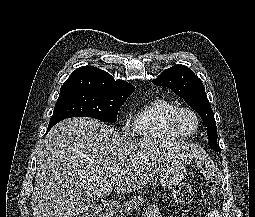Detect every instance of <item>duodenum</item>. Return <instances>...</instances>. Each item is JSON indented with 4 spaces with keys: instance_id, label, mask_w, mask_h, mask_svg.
Segmentation results:
<instances>
[{
    "instance_id": "1",
    "label": "duodenum",
    "mask_w": 255,
    "mask_h": 217,
    "mask_svg": "<svg viewBox=\"0 0 255 217\" xmlns=\"http://www.w3.org/2000/svg\"><path fill=\"white\" fill-rule=\"evenodd\" d=\"M113 208L109 204H101L98 207L97 214L99 217H110L112 214Z\"/></svg>"
}]
</instances>
